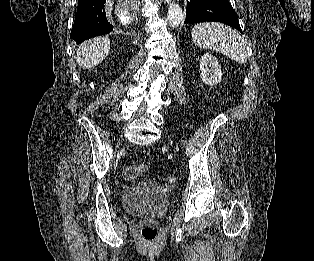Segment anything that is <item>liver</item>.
Listing matches in <instances>:
<instances>
[{"mask_svg": "<svg viewBox=\"0 0 314 261\" xmlns=\"http://www.w3.org/2000/svg\"><path fill=\"white\" fill-rule=\"evenodd\" d=\"M109 51L108 37L90 39L79 46L76 61L83 69H91L101 63L108 56Z\"/></svg>", "mask_w": 314, "mask_h": 261, "instance_id": "liver-1", "label": "liver"}]
</instances>
